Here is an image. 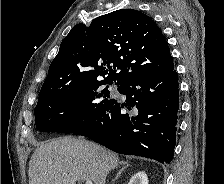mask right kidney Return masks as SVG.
<instances>
[{"label":"right kidney","mask_w":224,"mask_h":184,"mask_svg":"<svg viewBox=\"0 0 224 184\" xmlns=\"http://www.w3.org/2000/svg\"><path fill=\"white\" fill-rule=\"evenodd\" d=\"M128 184H148V178L145 172L141 171L133 175Z\"/></svg>","instance_id":"1"}]
</instances>
